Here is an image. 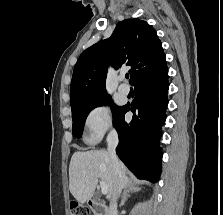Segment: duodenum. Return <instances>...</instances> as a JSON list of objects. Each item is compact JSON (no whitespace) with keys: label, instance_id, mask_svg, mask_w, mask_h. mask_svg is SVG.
<instances>
[{"label":"duodenum","instance_id":"duodenum-1","mask_svg":"<svg viewBox=\"0 0 223 215\" xmlns=\"http://www.w3.org/2000/svg\"><path fill=\"white\" fill-rule=\"evenodd\" d=\"M88 204L92 215H107L105 205L102 200H89Z\"/></svg>","mask_w":223,"mask_h":215}]
</instances>
